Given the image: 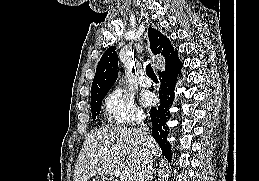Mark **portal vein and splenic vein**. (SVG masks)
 <instances>
[{"mask_svg":"<svg viewBox=\"0 0 259 181\" xmlns=\"http://www.w3.org/2000/svg\"><path fill=\"white\" fill-rule=\"evenodd\" d=\"M129 179H130L129 172L122 171L121 174H120V180L121 181H129Z\"/></svg>","mask_w":259,"mask_h":181,"instance_id":"portal-vein-and-splenic-vein-1","label":"portal vein and splenic vein"}]
</instances>
